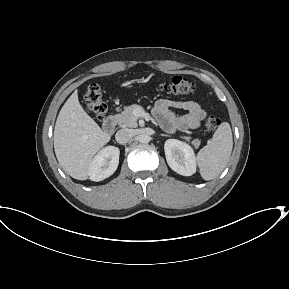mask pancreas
<instances>
[{
	"mask_svg": "<svg viewBox=\"0 0 289 289\" xmlns=\"http://www.w3.org/2000/svg\"><path fill=\"white\" fill-rule=\"evenodd\" d=\"M135 111L143 112L144 109L142 106L133 104L124 109V111L121 114H117L115 116L116 121L118 124L122 127H130L134 128L137 127V118L134 116ZM187 141H189V137H184ZM191 144L194 147H198L200 144V141L198 139H195L191 142Z\"/></svg>",
	"mask_w": 289,
	"mask_h": 289,
	"instance_id": "pancreas-1",
	"label": "pancreas"
}]
</instances>
